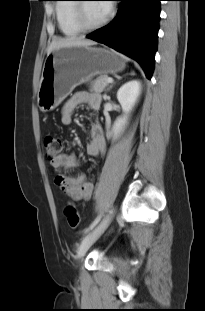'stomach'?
I'll return each mask as SVG.
<instances>
[{"label": "stomach", "instance_id": "1", "mask_svg": "<svg viewBox=\"0 0 205 311\" xmlns=\"http://www.w3.org/2000/svg\"><path fill=\"white\" fill-rule=\"evenodd\" d=\"M126 59L119 53L90 46H70L47 55L37 102L44 111L55 109L73 89L96 75L124 70Z\"/></svg>", "mask_w": 205, "mask_h": 311}]
</instances>
